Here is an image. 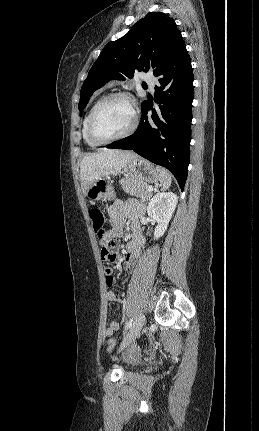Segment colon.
I'll return each mask as SVG.
<instances>
[{"label": "colon", "mask_w": 259, "mask_h": 431, "mask_svg": "<svg viewBox=\"0 0 259 431\" xmlns=\"http://www.w3.org/2000/svg\"><path fill=\"white\" fill-rule=\"evenodd\" d=\"M89 216L92 221L93 229L101 245V254L103 259L109 262H114L117 259V251L114 247V242L108 237V231L104 225V215L100 207L93 205L89 207ZM116 342L113 338L107 341V349L112 353L115 349Z\"/></svg>", "instance_id": "1"}]
</instances>
